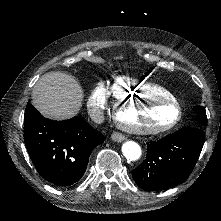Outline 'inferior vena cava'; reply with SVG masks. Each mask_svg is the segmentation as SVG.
Listing matches in <instances>:
<instances>
[{
  "mask_svg": "<svg viewBox=\"0 0 221 221\" xmlns=\"http://www.w3.org/2000/svg\"><path fill=\"white\" fill-rule=\"evenodd\" d=\"M104 120H105L104 112H103V110L100 109L99 113H98V116H97V123L101 124V123L104 122Z\"/></svg>",
  "mask_w": 221,
  "mask_h": 221,
  "instance_id": "obj_1",
  "label": "inferior vena cava"
}]
</instances>
